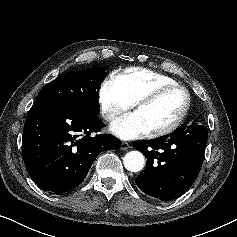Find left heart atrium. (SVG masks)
<instances>
[{"instance_id": "obj_1", "label": "left heart atrium", "mask_w": 237, "mask_h": 237, "mask_svg": "<svg viewBox=\"0 0 237 237\" xmlns=\"http://www.w3.org/2000/svg\"><path fill=\"white\" fill-rule=\"evenodd\" d=\"M110 131L123 140L140 138L149 133L147 126L136 112L117 120L111 125Z\"/></svg>"}]
</instances>
